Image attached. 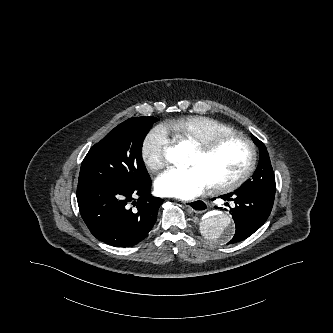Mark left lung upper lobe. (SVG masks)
<instances>
[{"instance_id":"obj_1","label":"left lung upper lobe","mask_w":333,"mask_h":333,"mask_svg":"<svg viewBox=\"0 0 333 333\" xmlns=\"http://www.w3.org/2000/svg\"><path fill=\"white\" fill-rule=\"evenodd\" d=\"M254 143L259 147L260 160L251 179L244 182L238 190L255 191L275 196V176L271 166L269 154L265 145L252 135Z\"/></svg>"}]
</instances>
